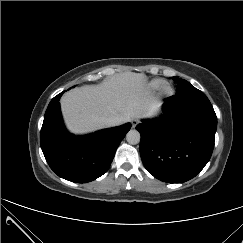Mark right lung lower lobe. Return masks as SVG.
<instances>
[{
  "label": "right lung lower lobe",
  "instance_id": "right-lung-lower-lobe-1",
  "mask_svg": "<svg viewBox=\"0 0 243 243\" xmlns=\"http://www.w3.org/2000/svg\"><path fill=\"white\" fill-rule=\"evenodd\" d=\"M63 93L55 96L46 110L40 133L41 148L58 176L76 183L90 182L106 173L131 124L74 136L63 124L59 104Z\"/></svg>",
  "mask_w": 243,
  "mask_h": 243
}]
</instances>
